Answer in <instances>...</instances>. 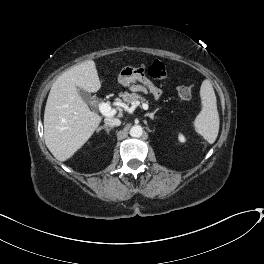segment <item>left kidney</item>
<instances>
[{
	"label": "left kidney",
	"instance_id": "left-kidney-1",
	"mask_svg": "<svg viewBox=\"0 0 264 264\" xmlns=\"http://www.w3.org/2000/svg\"><path fill=\"white\" fill-rule=\"evenodd\" d=\"M178 139L180 142H185V137L182 134H179Z\"/></svg>",
	"mask_w": 264,
	"mask_h": 264
}]
</instances>
